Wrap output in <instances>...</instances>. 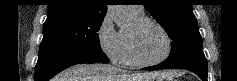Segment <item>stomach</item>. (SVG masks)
Masks as SVG:
<instances>
[{
    "instance_id": "1",
    "label": "stomach",
    "mask_w": 237,
    "mask_h": 81,
    "mask_svg": "<svg viewBox=\"0 0 237 81\" xmlns=\"http://www.w3.org/2000/svg\"><path fill=\"white\" fill-rule=\"evenodd\" d=\"M151 81H173V77L171 76H165V75H162V76H159V77H156L154 78L153 80Z\"/></svg>"
}]
</instances>
